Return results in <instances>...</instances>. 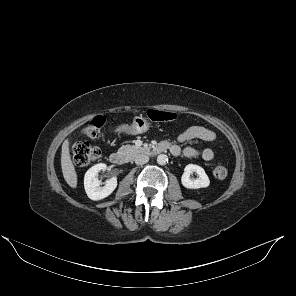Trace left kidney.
Wrapping results in <instances>:
<instances>
[{"mask_svg": "<svg viewBox=\"0 0 296 296\" xmlns=\"http://www.w3.org/2000/svg\"><path fill=\"white\" fill-rule=\"evenodd\" d=\"M196 172L198 174L197 179H191L190 175ZM182 185L188 189H199V188H206L210 184V180L205 173L204 169L198 165L188 164L185 169L184 173L181 177Z\"/></svg>", "mask_w": 296, "mask_h": 296, "instance_id": "obj_1", "label": "left kidney"}]
</instances>
